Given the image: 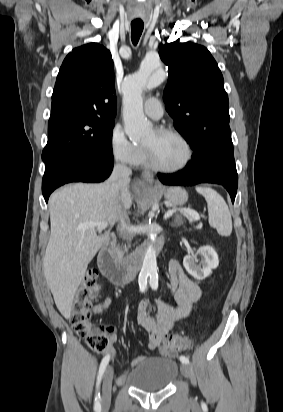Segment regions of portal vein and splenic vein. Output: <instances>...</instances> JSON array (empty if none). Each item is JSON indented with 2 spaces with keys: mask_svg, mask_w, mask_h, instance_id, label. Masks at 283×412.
<instances>
[{
  "mask_svg": "<svg viewBox=\"0 0 283 412\" xmlns=\"http://www.w3.org/2000/svg\"><path fill=\"white\" fill-rule=\"evenodd\" d=\"M185 214H187L188 216H190L192 219L194 220H199L200 216L199 214L190 209V208H182L181 209ZM176 212V210H170L168 211L165 215H164V219L169 218L170 216H172L174 213ZM108 223L106 222H89V223H85V224H81L79 227L80 229H87V228H97L98 231H102L105 228H107Z\"/></svg>",
  "mask_w": 283,
  "mask_h": 412,
  "instance_id": "obj_1",
  "label": "portal vein and splenic vein"
}]
</instances>
